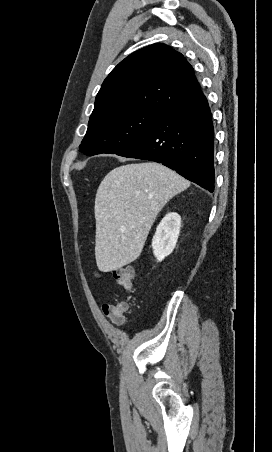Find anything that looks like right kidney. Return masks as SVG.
Listing matches in <instances>:
<instances>
[{
	"mask_svg": "<svg viewBox=\"0 0 272 452\" xmlns=\"http://www.w3.org/2000/svg\"><path fill=\"white\" fill-rule=\"evenodd\" d=\"M181 227L178 213H168L160 222L152 240V248L157 261L161 262L174 250Z\"/></svg>",
	"mask_w": 272,
	"mask_h": 452,
	"instance_id": "right-kidney-1",
	"label": "right kidney"
}]
</instances>
